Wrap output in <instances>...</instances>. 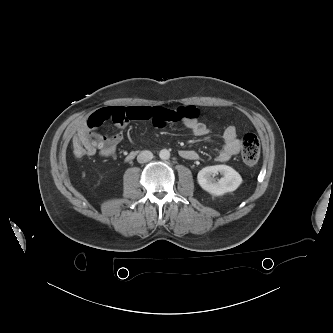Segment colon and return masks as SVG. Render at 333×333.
Wrapping results in <instances>:
<instances>
[{
    "label": "colon",
    "instance_id": "obj_1",
    "mask_svg": "<svg viewBox=\"0 0 333 333\" xmlns=\"http://www.w3.org/2000/svg\"><path fill=\"white\" fill-rule=\"evenodd\" d=\"M73 152L76 157L85 155V148L80 139L75 137L72 142ZM241 156L243 161L248 165L257 163L260 157V141L253 133H246L242 138Z\"/></svg>",
    "mask_w": 333,
    "mask_h": 333
}]
</instances>
